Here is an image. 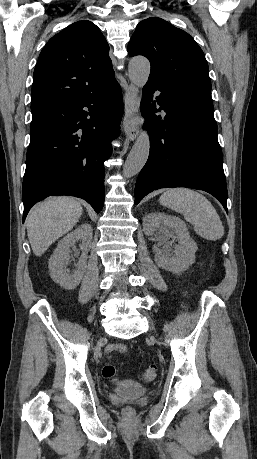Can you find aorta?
<instances>
[{
    "mask_svg": "<svg viewBox=\"0 0 257 459\" xmlns=\"http://www.w3.org/2000/svg\"><path fill=\"white\" fill-rule=\"evenodd\" d=\"M129 78L137 87H143L149 78L150 62L144 57H134L128 66ZM150 150V139L146 131H141L123 167V174L130 178L140 172L145 165Z\"/></svg>",
    "mask_w": 257,
    "mask_h": 459,
    "instance_id": "762f6f07",
    "label": "aorta"
}]
</instances>
